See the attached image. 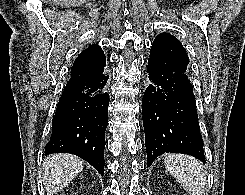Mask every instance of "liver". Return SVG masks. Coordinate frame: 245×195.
I'll use <instances>...</instances> for the list:
<instances>
[{
    "label": "liver",
    "instance_id": "6515ba94",
    "mask_svg": "<svg viewBox=\"0 0 245 195\" xmlns=\"http://www.w3.org/2000/svg\"><path fill=\"white\" fill-rule=\"evenodd\" d=\"M82 168L80 158L72 154L59 153L47 156L43 162V182L48 195L65 188Z\"/></svg>",
    "mask_w": 245,
    "mask_h": 195
}]
</instances>
